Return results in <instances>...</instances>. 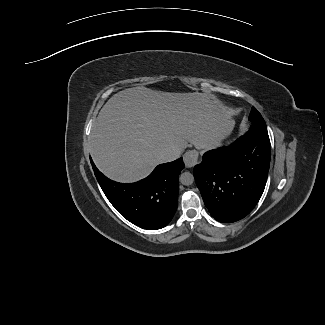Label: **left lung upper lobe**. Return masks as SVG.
<instances>
[{"label":"left lung upper lobe","instance_id":"obj_1","mask_svg":"<svg viewBox=\"0 0 325 325\" xmlns=\"http://www.w3.org/2000/svg\"><path fill=\"white\" fill-rule=\"evenodd\" d=\"M249 119H258V120H264L261 116V114L258 112V110L255 107H252Z\"/></svg>","mask_w":325,"mask_h":325}]
</instances>
